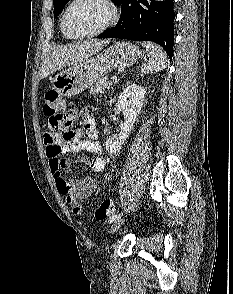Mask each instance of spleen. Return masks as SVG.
<instances>
[{
  "instance_id": "3e777b00",
  "label": "spleen",
  "mask_w": 233,
  "mask_h": 294,
  "mask_svg": "<svg viewBox=\"0 0 233 294\" xmlns=\"http://www.w3.org/2000/svg\"><path fill=\"white\" fill-rule=\"evenodd\" d=\"M142 47L146 49L148 60L142 64L141 72L144 74L159 72L166 68L167 57L163 49L151 42H142Z\"/></svg>"
}]
</instances>
